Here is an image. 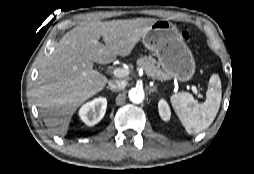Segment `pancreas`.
I'll use <instances>...</instances> for the list:
<instances>
[{
    "label": "pancreas",
    "mask_w": 254,
    "mask_h": 174,
    "mask_svg": "<svg viewBox=\"0 0 254 174\" xmlns=\"http://www.w3.org/2000/svg\"><path fill=\"white\" fill-rule=\"evenodd\" d=\"M137 66L143 68L148 77L157 80H168L170 76L165 73L152 56H142L137 60Z\"/></svg>",
    "instance_id": "pancreas-1"
}]
</instances>
